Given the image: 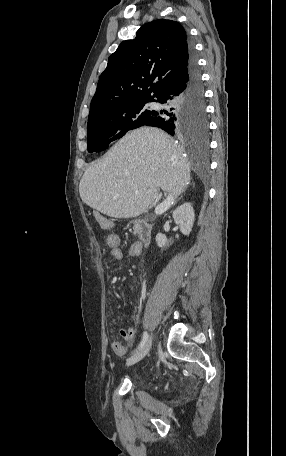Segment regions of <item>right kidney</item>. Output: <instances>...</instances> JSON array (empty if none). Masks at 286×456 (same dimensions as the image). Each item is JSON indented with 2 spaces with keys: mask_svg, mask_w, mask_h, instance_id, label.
Returning <instances> with one entry per match:
<instances>
[{
  "mask_svg": "<svg viewBox=\"0 0 286 456\" xmlns=\"http://www.w3.org/2000/svg\"><path fill=\"white\" fill-rule=\"evenodd\" d=\"M173 219L180 227L182 234L189 235L195 220L192 204L187 202L180 205L173 211ZM156 243L158 247H164L168 243L167 237L162 233H158L156 235Z\"/></svg>",
  "mask_w": 286,
  "mask_h": 456,
  "instance_id": "1",
  "label": "right kidney"
}]
</instances>
